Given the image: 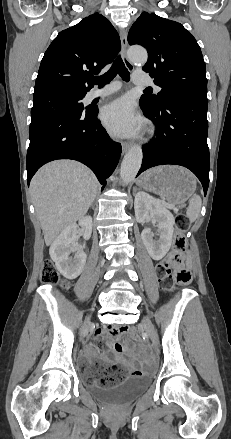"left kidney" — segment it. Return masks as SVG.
Returning a JSON list of instances; mask_svg holds the SVG:
<instances>
[{"label":"left kidney","mask_w":231,"mask_h":439,"mask_svg":"<svg viewBox=\"0 0 231 439\" xmlns=\"http://www.w3.org/2000/svg\"><path fill=\"white\" fill-rule=\"evenodd\" d=\"M134 209L137 222H144L150 217L152 223L157 224L159 240H153L154 234L150 228H145L141 237L151 258L154 260L162 259L172 244L175 223L173 215L159 200L142 191L135 196Z\"/></svg>","instance_id":"left-kidney-1"}]
</instances>
